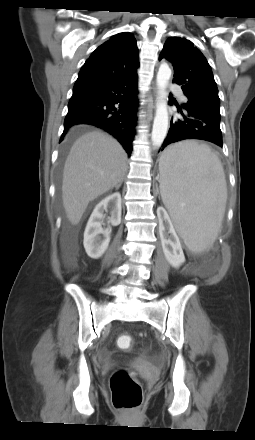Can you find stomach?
<instances>
[{"label":"stomach","instance_id":"1","mask_svg":"<svg viewBox=\"0 0 255 440\" xmlns=\"http://www.w3.org/2000/svg\"><path fill=\"white\" fill-rule=\"evenodd\" d=\"M165 158V152L163 153L161 159H160V164L162 163L163 159Z\"/></svg>","mask_w":255,"mask_h":440}]
</instances>
